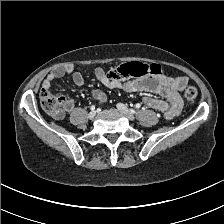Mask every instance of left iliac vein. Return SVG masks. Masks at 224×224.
I'll use <instances>...</instances> for the list:
<instances>
[{
  "label": "left iliac vein",
  "mask_w": 224,
  "mask_h": 224,
  "mask_svg": "<svg viewBox=\"0 0 224 224\" xmlns=\"http://www.w3.org/2000/svg\"><path fill=\"white\" fill-rule=\"evenodd\" d=\"M117 109L123 113L130 121L135 119L134 115L130 112V110L122 103L117 104Z\"/></svg>",
  "instance_id": "1"
}]
</instances>
